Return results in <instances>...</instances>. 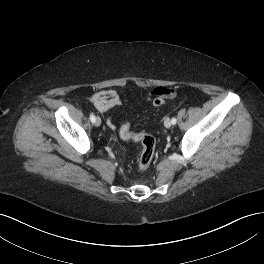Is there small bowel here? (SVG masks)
I'll return each mask as SVG.
<instances>
[{
  "instance_id": "1",
  "label": "small bowel",
  "mask_w": 264,
  "mask_h": 264,
  "mask_svg": "<svg viewBox=\"0 0 264 264\" xmlns=\"http://www.w3.org/2000/svg\"><path fill=\"white\" fill-rule=\"evenodd\" d=\"M177 94L175 88L171 87H157L148 93V99L153 100L155 98L171 99ZM90 102L94 105L97 111L104 113L108 110L120 106L122 104V96L120 92L114 89L102 90L94 93L90 98ZM107 125L111 129H115L116 126L111 119L107 120Z\"/></svg>"
}]
</instances>
